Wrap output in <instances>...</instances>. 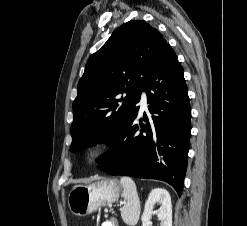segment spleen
Masks as SVG:
<instances>
[{"instance_id": "spleen-1", "label": "spleen", "mask_w": 247, "mask_h": 226, "mask_svg": "<svg viewBox=\"0 0 247 226\" xmlns=\"http://www.w3.org/2000/svg\"><path fill=\"white\" fill-rule=\"evenodd\" d=\"M120 183L123 186V197L126 200L121 209V216L126 223L132 225L136 223L140 209L136 185L129 177H122Z\"/></svg>"}]
</instances>
